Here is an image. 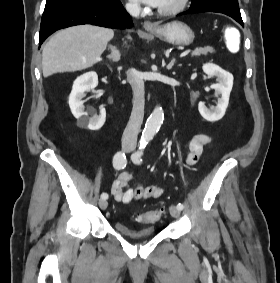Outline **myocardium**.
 Segmentation results:
<instances>
[{
    "instance_id": "myocardium-1",
    "label": "myocardium",
    "mask_w": 280,
    "mask_h": 283,
    "mask_svg": "<svg viewBox=\"0 0 280 283\" xmlns=\"http://www.w3.org/2000/svg\"><path fill=\"white\" fill-rule=\"evenodd\" d=\"M190 0H178L175 5L169 8H158V13L163 16L176 15L182 12L189 4Z\"/></svg>"
}]
</instances>
